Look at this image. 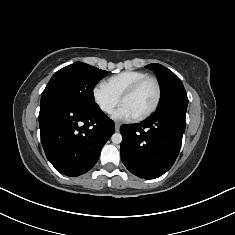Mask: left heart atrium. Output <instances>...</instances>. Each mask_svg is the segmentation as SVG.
Instances as JSON below:
<instances>
[{
	"label": "left heart atrium",
	"instance_id": "obj_1",
	"mask_svg": "<svg viewBox=\"0 0 235 235\" xmlns=\"http://www.w3.org/2000/svg\"><path fill=\"white\" fill-rule=\"evenodd\" d=\"M116 120L131 121L136 118L134 112L126 105L122 104L112 115Z\"/></svg>",
	"mask_w": 235,
	"mask_h": 235
}]
</instances>
